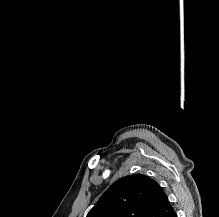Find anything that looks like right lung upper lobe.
I'll return each instance as SVG.
<instances>
[{
	"instance_id": "obj_1",
	"label": "right lung upper lobe",
	"mask_w": 219,
	"mask_h": 217,
	"mask_svg": "<svg viewBox=\"0 0 219 217\" xmlns=\"http://www.w3.org/2000/svg\"><path fill=\"white\" fill-rule=\"evenodd\" d=\"M173 211L162 187L136 174L114 182L86 217H168Z\"/></svg>"
}]
</instances>
